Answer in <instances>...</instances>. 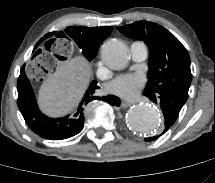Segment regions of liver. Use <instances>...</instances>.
Masks as SVG:
<instances>
[{"instance_id":"obj_1","label":"liver","mask_w":215,"mask_h":183,"mask_svg":"<svg viewBox=\"0 0 215 183\" xmlns=\"http://www.w3.org/2000/svg\"><path fill=\"white\" fill-rule=\"evenodd\" d=\"M91 77L88 61L77 56L61 62L55 73L41 85L38 95L40 109L52 117H60L76 108Z\"/></svg>"}]
</instances>
